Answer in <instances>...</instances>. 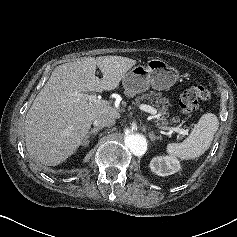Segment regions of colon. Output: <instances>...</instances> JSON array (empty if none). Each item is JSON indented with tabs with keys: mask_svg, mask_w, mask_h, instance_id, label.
Listing matches in <instances>:
<instances>
[{
	"mask_svg": "<svg viewBox=\"0 0 237 237\" xmlns=\"http://www.w3.org/2000/svg\"><path fill=\"white\" fill-rule=\"evenodd\" d=\"M212 95L209 89L203 86H194L185 90L180 97V108L184 114H191L198 109L199 100L209 101Z\"/></svg>",
	"mask_w": 237,
	"mask_h": 237,
	"instance_id": "obj_1",
	"label": "colon"
}]
</instances>
